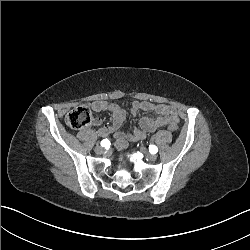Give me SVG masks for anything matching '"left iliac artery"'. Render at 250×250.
<instances>
[{
    "instance_id": "left-iliac-artery-1",
    "label": "left iliac artery",
    "mask_w": 250,
    "mask_h": 250,
    "mask_svg": "<svg viewBox=\"0 0 250 250\" xmlns=\"http://www.w3.org/2000/svg\"><path fill=\"white\" fill-rule=\"evenodd\" d=\"M149 151H150L151 154H155V153L158 152V148L155 145H150L149 146Z\"/></svg>"
}]
</instances>
